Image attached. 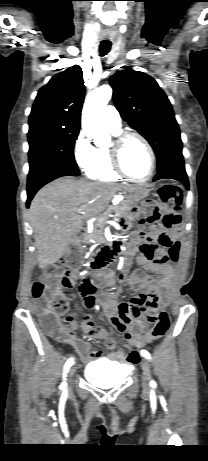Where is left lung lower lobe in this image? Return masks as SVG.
Listing matches in <instances>:
<instances>
[{
    "label": "left lung lower lobe",
    "instance_id": "left-lung-lower-lobe-1",
    "mask_svg": "<svg viewBox=\"0 0 208 461\" xmlns=\"http://www.w3.org/2000/svg\"><path fill=\"white\" fill-rule=\"evenodd\" d=\"M164 178L178 180L184 184L186 189H189V182L185 171L183 158L171 160L169 163L158 170L153 180L156 181Z\"/></svg>",
    "mask_w": 208,
    "mask_h": 461
}]
</instances>
